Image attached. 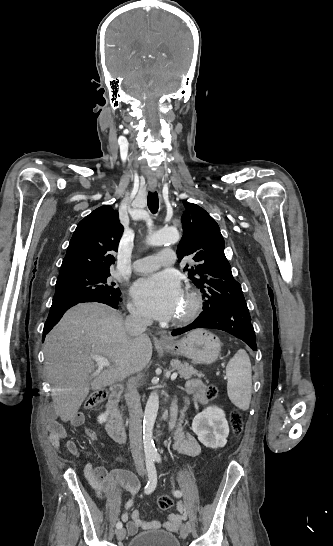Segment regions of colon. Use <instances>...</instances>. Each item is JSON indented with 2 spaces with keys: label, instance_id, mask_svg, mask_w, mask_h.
Instances as JSON below:
<instances>
[{
  "label": "colon",
  "instance_id": "obj_1",
  "mask_svg": "<svg viewBox=\"0 0 333 546\" xmlns=\"http://www.w3.org/2000/svg\"><path fill=\"white\" fill-rule=\"evenodd\" d=\"M217 388L213 385L209 386L205 392L207 399H213L217 395ZM107 396L106 391L98 390L93 392L85 401V407L91 409L98 403L103 401ZM243 418L238 410H233L230 414V425L234 438H236L242 429ZM173 506V499L169 495H162L158 499V507L161 510H168Z\"/></svg>",
  "mask_w": 333,
  "mask_h": 546
}]
</instances>
